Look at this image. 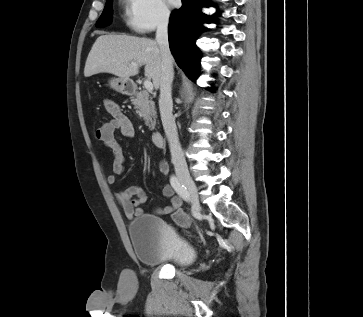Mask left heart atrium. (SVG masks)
Returning <instances> with one entry per match:
<instances>
[{"mask_svg": "<svg viewBox=\"0 0 363 317\" xmlns=\"http://www.w3.org/2000/svg\"><path fill=\"white\" fill-rule=\"evenodd\" d=\"M170 2H171L172 4H175V3H176V0H170Z\"/></svg>", "mask_w": 363, "mask_h": 317, "instance_id": "left-heart-atrium-1", "label": "left heart atrium"}]
</instances>
